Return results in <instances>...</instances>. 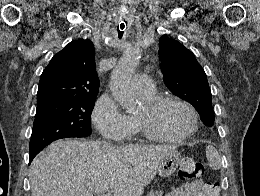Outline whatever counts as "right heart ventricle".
I'll return each instance as SVG.
<instances>
[{
	"label": "right heart ventricle",
	"instance_id": "obj_1",
	"mask_svg": "<svg viewBox=\"0 0 260 196\" xmlns=\"http://www.w3.org/2000/svg\"><path fill=\"white\" fill-rule=\"evenodd\" d=\"M138 94L145 101L151 100V99H153L155 97V91L154 90L150 94H144V93H138ZM132 120L134 122V126L137 127L136 119L132 118Z\"/></svg>",
	"mask_w": 260,
	"mask_h": 196
}]
</instances>
